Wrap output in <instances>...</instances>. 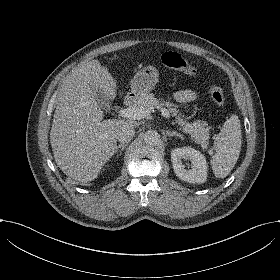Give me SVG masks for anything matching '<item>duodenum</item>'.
I'll list each match as a JSON object with an SVG mask.
<instances>
[{
	"mask_svg": "<svg viewBox=\"0 0 280 280\" xmlns=\"http://www.w3.org/2000/svg\"><path fill=\"white\" fill-rule=\"evenodd\" d=\"M132 104H133V99H131V98H127L123 102V106L126 107V108L130 107Z\"/></svg>",
	"mask_w": 280,
	"mask_h": 280,
	"instance_id": "410a0bca",
	"label": "duodenum"
}]
</instances>
